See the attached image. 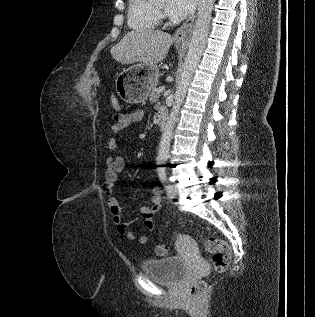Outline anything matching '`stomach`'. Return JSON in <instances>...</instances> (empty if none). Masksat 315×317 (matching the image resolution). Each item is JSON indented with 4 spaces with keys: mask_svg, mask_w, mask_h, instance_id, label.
Here are the masks:
<instances>
[{
    "mask_svg": "<svg viewBox=\"0 0 315 317\" xmlns=\"http://www.w3.org/2000/svg\"><path fill=\"white\" fill-rule=\"evenodd\" d=\"M159 78L157 66L133 65L124 69L115 80L119 97L129 104L145 101Z\"/></svg>",
    "mask_w": 315,
    "mask_h": 317,
    "instance_id": "obj_1",
    "label": "stomach"
}]
</instances>
